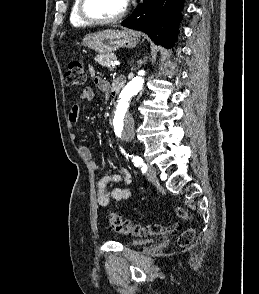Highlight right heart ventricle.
<instances>
[{
  "mask_svg": "<svg viewBox=\"0 0 259 294\" xmlns=\"http://www.w3.org/2000/svg\"><path fill=\"white\" fill-rule=\"evenodd\" d=\"M78 3L79 0H73L72 8L70 11V23L73 27L82 28L86 27V24L78 15Z\"/></svg>",
  "mask_w": 259,
  "mask_h": 294,
  "instance_id": "right-heart-ventricle-1",
  "label": "right heart ventricle"
}]
</instances>
